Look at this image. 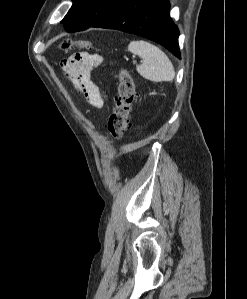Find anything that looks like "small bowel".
I'll return each mask as SVG.
<instances>
[{
	"instance_id": "small-bowel-1",
	"label": "small bowel",
	"mask_w": 247,
	"mask_h": 299,
	"mask_svg": "<svg viewBox=\"0 0 247 299\" xmlns=\"http://www.w3.org/2000/svg\"><path fill=\"white\" fill-rule=\"evenodd\" d=\"M103 62L97 53L81 52L62 61L61 66L69 75L71 82L89 105L96 109L103 107L106 97L101 89L92 82V71Z\"/></svg>"
}]
</instances>
